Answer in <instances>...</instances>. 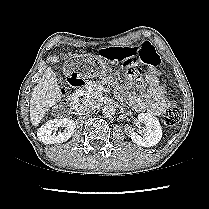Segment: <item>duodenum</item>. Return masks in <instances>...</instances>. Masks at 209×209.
I'll return each mask as SVG.
<instances>
[{
	"label": "duodenum",
	"mask_w": 209,
	"mask_h": 209,
	"mask_svg": "<svg viewBox=\"0 0 209 209\" xmlns=\"http://www.w3.org/2000/svg\"><path fill=\"white\" fill-rule=\"evenodd\" d=\"M70 83L74 91L67 97L66 103L70 107H74L78 103L80 92L87 86V82L84 79L73 77L70 79Z\"/></svg>",
	"instance_id": "1"
}]
</instances>
